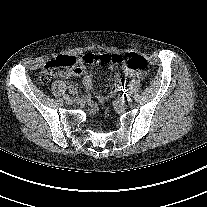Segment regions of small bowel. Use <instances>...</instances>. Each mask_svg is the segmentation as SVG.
I'll return each mask as SVG.
<instances>
[{"label":"small bowel","instance_id":"small-bowel-1","mask_svg":"<svg viewBox=\"0 0 207 207\" xmlns=\"http://www.w3.org/2000/svg\"><path fill=\"white\" fill-rule=\"evenodd\" d=\"M59 77L65 78L69 76H82V82L87 91H91L93 89V78L92 75L85 69L84 66L78 68L75 72H66L62 71L58 73ZM123 76H128L131 78L142 79L144 77V73L142 72H134L127 68H124L122 73H118L115 75V87L107 96H99L98 99L101 103H105L111 97H113L116 93L120 92L124 88L123 84Z\"/></svg>","mask_w":207,"mask_h":207}]
</instances>
